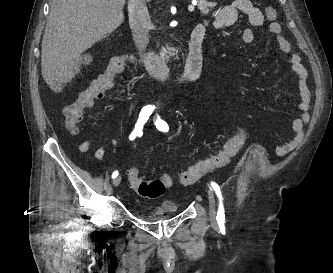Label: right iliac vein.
<instances>
[{
    "instance_id": "obj_1",
    "label": "right iliac vein",
    "mask_w": 333,
    "mask_h": 273,
    "mask_svg": "<svg viewBox=\"0 0 333 273\" xmlns=\"http://www.w3.org/2000/svg\"><path fill=\"white\" fill-rule=\"evenodd\" d=\"M121 182V176H117L113 180V186L117 187Z\"/></svg>"
}]
</instances>
